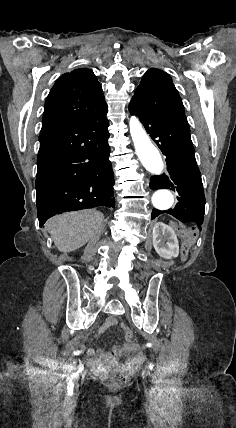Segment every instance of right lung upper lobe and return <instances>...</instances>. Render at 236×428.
Returning a JSON list of instances; mask_svg holds the SVG:
<instances>
[{"mask_svg":"<svg viewBox=\"0 0 236 428\" xmlns=\"http://www.w3.org/2000/svg\"><path fill=\"white\" fill-rule=\"evenodd\" d=\"M107 111L102 87L92 70L78 68L63 74L51 89L41 132L80 123Z\"/></svg>","mask_w":236,"mask_h":428,"instance_id":"1","label":"right lung upper lobe"}]
</instances>
